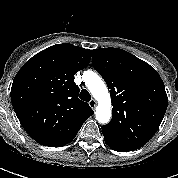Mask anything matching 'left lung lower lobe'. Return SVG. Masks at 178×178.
Masks as SVG:
<instances>
[{"mask_svg":"<svg viewBox=\"0 0 178 178\" xmlns=\"http://www.w3.org/2000/svg\"><path fill=\"white\" fill-rule=\"evenodd\" d=\"M107 145H108L110 148H112L113 150H115V151H119V152H127V151H130V150L121 149V148H119V147L110 145V144H108V143H107Z\"/></svg>","mask_w":178,"mask_h":178,"instance_id":"0a47b994","label":"left lung lower lobe"}]
</instances>
